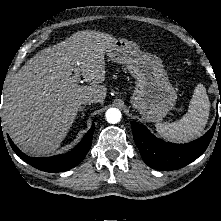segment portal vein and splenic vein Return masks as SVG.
I'll use <instances>...</instances> for the list:
<instances>
[{"label": "portal vein and splenic vein", "mask_w": 221, "mask_h": 221, "mask_svg": "<svg viewBox=\"0 0 221 221\" xmlns=\"http://www.w3.org/2000/svg\"><path fill=\"white\" fill-rule=\"evenodd\" d=\"M74 72H75V75H74L75 81H79L80 80V73H79L78 68L75 67Z\"/></svg>", "instance_id": "obj_1"}]
</instances>
